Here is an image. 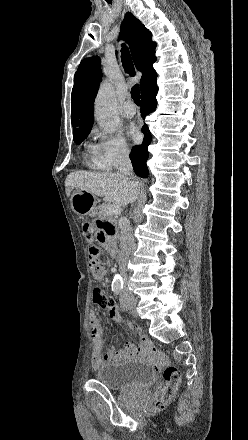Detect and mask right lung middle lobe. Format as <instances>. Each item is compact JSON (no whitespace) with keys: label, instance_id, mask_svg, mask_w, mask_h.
Returning <instances> with one entry per match:
<instances>
[{"label":"right lung middle lobe","instance_id":"1","mask_svg":"<svg viewBox=\"0 0 248 440\" xmlns=\"http://www.w3.org/2000/svg\"><path fill=\"white\" fill-rule=\"evenodd\" d=\"M90 130L87 131H82L79 133L74 134L73 136V140L76 144H80L83 140L86 139V137L88 136Z\"/></svg>","mask_w":248,"mask_h":440}]
</instances>
